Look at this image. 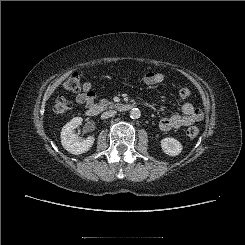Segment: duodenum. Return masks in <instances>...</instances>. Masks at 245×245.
Returning <instances> with one entry per match:
<instances>
[{
    "instance_id": "obj_1",
    "label": "duodenum",
    "mask_w": 245,
    "mask_h": 245,
    "mask_svg": "<svg viewBox=\"0 0 245 245\" xmlns=\"http://www.w3.org/2000/svg\"><path fill=\"white\" fill-rule=\"evenodd\" d=\"M133 108V105L131 103H125L118 105L117 109L119 112H127L130 111ZM101 111V107L98 104L90 103L86 107V115L89 117H95L97 116Z\"/></svg>"
}]
</instances>
